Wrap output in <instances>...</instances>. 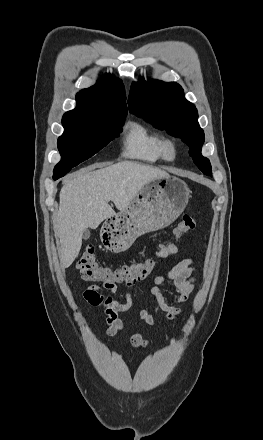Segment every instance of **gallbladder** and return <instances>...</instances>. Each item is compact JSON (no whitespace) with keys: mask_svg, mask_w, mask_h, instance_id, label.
Wrapping results in <instances>:
<instances>
[{"mask_svg":"<svg viewBox=\"0 0 263 440\" xmlns=\"http://www.w3.org/2000/svg\"><path fill=\"white\" fill-rule=\"evenodd\" d=\"M83 239H88L90 237V231L85 229L82 235Z\"/></svg>","mask_w":263,"mask_h":440,"instance_id":"obj_1","label":"gallbladder"}]
</instances>
